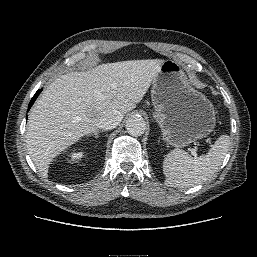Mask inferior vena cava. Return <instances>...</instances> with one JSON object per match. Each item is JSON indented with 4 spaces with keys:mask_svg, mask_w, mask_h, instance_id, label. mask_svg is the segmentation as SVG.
Wrapping results in <instances>:
<instances>
[{
    "mask_svg": "<svg viewBox=\"0 0 257 257\" xmlns=\"http://www.w3.org/2000/svg\"><path fill=\"white\" fill-rule=\"evenodd\" d=\"M123 114L118 110H112L104 115H102L98 122L97 127L103 130H110L121 122Z\"/></svg>",
    "mask_w": 257,
    "mask_h": 257,
    "instance_id": "obj_1",
    "label": "inferior vena cava"
}]
</instances>
